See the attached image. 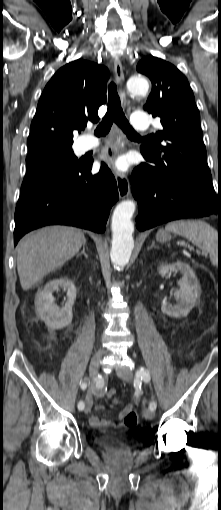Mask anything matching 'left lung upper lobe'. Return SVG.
Segmentation results:
<instances>
[{
    "label": "left lung upper lobe",
    "instance_id": "1",
    "mask_svg": "<svg viewBox=\"0 0 221 510\" xmlns=\"http://www.w3.org/2000/svg\"><path fill=\"white\" fill-rule=\"evenodd\" d=\"M137 71L147 75L152 91L144 106L161 118L163 130L140 147L154 172L165 180L193 178L212 182L200 128V114L186 77L172 64L143 58Z\"/></svg>",
    "mask_w": 221,
    "mask_h": 510
}]
</instances>
